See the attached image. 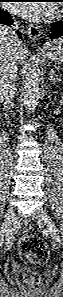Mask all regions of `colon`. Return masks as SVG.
I'll list each match as a JSON object with an SVG mask.
<instances>
[{
    "label": "colon",
    "mask_w": 63,
    "mask_h": 297,
    "mask_svg": "<svg viewBox=\"0 0 63 297\" xmlns=\"http://www.w3.org/2000/svg\"><path fill=\"white\" fill-rule=\"evenodd\" d=\"M19 252L36 266L45 264L49 256L45 242L34 235H26L20 238ZM22 284L25 288L31 289L37 286L38 280L32 274H25L22 278Z\"/></svg>",
    "instance_id": "5ec220e1"
}]
</instances>
